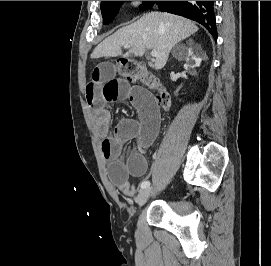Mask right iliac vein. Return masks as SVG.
I'll use <instances>...</instances> for the list:
<instances>
[{
	"instance_id": "1",
	"label": "right iliac vein",
	"mask_w": 271,
	"mask_h": 266,
	"mask_svg": "<svg viewBox=\"0 0 271 266\" xmlns=\"http://www.w3.org/2000/svg\"><path fill=\"white\" fill-rule=\"evenodd\" d=\"M152 193V190L150 188L143 189L139 192L138 196L136 197V203L139 206H142L143 204L146 203L148 198L150 197Z\"/></svg>"
}]
</instances>
